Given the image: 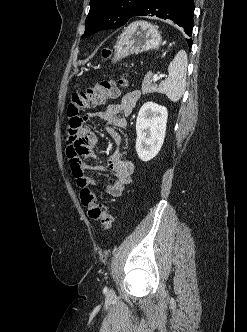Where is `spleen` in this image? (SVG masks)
<instances>
[{"label":"spleen","instance_id":"3e777b00","mask_svg":"<svg viewBox=\"0 0 247 332\" xmlns=\"http://www.w3.org/2000/svg\"><path fill=\"white\" fill-rule=\"evenodd\" d=\"M187 64V54L180 50L168 66V78L158 87V92L173 102H177L185 91Z\"/></svg>","mask_w":247,"mask_h":332}]
</instances>
